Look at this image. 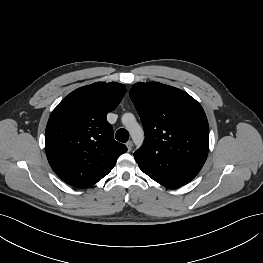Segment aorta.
Instances as JSON below:
<instances>
[{
  "instance_id": "aorta-1",
  "label": "aorta",
  "mask_w": 263,
  "mask_h": 263,
  "mask_svg": "<svg viewBox=\"0 0 263 263\" xmlns=\"http://www.w3.org/2000/svg\"><path fill=\"white\" fill-rule=\"evenodd\" d=\"M122 123L126 126L134 143L137 146L142 145L144 140V131L141 128V126L136 122L134 115L131 113H125L122 116Z\"/></svg>"
}]
</instances>
